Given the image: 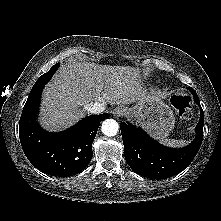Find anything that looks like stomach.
<instances>
[{
  "mask_svg": "<svg viewBox=\"0 0 221 221\" xmlns=\"http://www.w3.org/2000/svg\"><path fill=\"white\" fill-rule=\"evenodd\" d=\"M125 111L129 118L159 140L166 138L175 124L173 111L164 103L160 92H150L135 106L126 107Z\"/></svg>",
  "mask_w": 221,
  "mask_h": 221,
  "instance_id": "obj_1",
  "label": "stomach"
}]
</instances>
